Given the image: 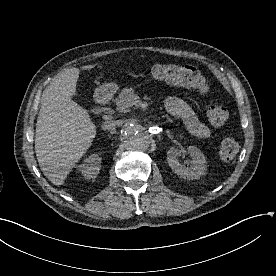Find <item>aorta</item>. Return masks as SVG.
<instances>
[{
    "mask_svg": "<svg viewBox=\"0 0 276 276\" xmlns=\"http://www.w3.org/2000/svg\"><path fill=\"white\" fill-rule=\"evenodd\" d=\"M121 137L126 142L127 147L133 150L145 151L150 145L149 135L134 123L123 126Z\"/></svg>",
    "mask_w": 276,
    "mask_h": 276,
    "instance_id": "aorta-1",
    "label": "aorta"
}]
</instances>
